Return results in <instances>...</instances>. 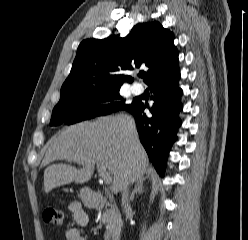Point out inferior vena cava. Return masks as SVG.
Segmentation results:
<instances>
[{
    "label": "inferior vena cava",
    "instance_id": "1",
    "mask_svg": "<svg viewBox=\"0 0 248 240\" xmlns=\"http://www.w3.org/2000/svg\"><path fill=\"white\" fill-rule=\"evenodd\" d=\"M128 195H129L128 185H125L122 189V207L125 212H127L130 209Z\"/></svg>",
    "mask_w": 248,
    "mask_h": 240
}]
</instances>
